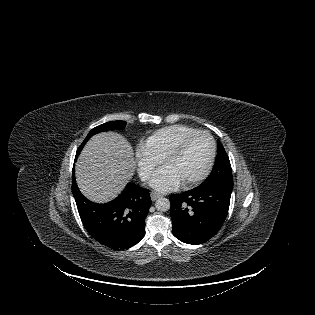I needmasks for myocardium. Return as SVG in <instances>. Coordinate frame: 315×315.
<instances>
[{
  "label": "myocardium",
  "mask_w": 315,
  "mask_h": 315,
  "mask_svg": "<svg viewBox=\"0 0 315 315\" xmlns=\"http://www.w3.org/2000/svg\"><path fill=\"white\" fill-rule=\"evenodd\" d=\"M197 135H205L207 136V138L209 139L210 142V154H209V158L208 161L206 163L205 168L203 169V171L197 175L194 178H191L187 181L183 182V185L185 186H192L195 185L197 183H200L201 181H203L210 173L214 160H215V156H216V144H215V140L213 138V136L204 130H196L186 136H184L182 139H180L177 144L165 155V157L163 158V162L166 165L168 163L169 160H171L172 158L178 156L184 149V147L186 146V144L195 136Z\"/></svg>",
  "instance_id": "myocardium-1"
}]
</instances>
